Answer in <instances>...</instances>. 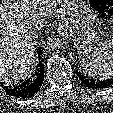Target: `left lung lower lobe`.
<instances>
[{
    "mask_svg": "<svg viewBox=\"0 0 113 113\" xmlns=\"http://www.w3.org/2000/svg\"><path fill=\"white\" fill-rule=\"evenodd\" d=\"M77 76L79 79L82 81L84 85H86L89 88L92 89H102L110 86L113 83V80H107V81H94L92 79H88L86 76L83 74H80L79 72L76 71Z\"/></svg>",
    "mask_w": 113,
    "mask_h": 113,
    "instance_id": "1",
    "label": "left lung lower lobe"
}]
</instances>
